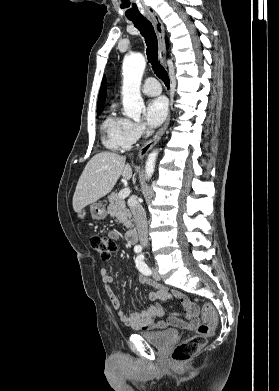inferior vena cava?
Masks as SVG:
<instances>
[{"label":"inferior vena cava","instance_id":"1","mask_svg":"<svg viewBox=\"0 0 279 391\" xmlns=\"http://www.w3.org/2000/svg\"><path fill=\"white\" fill-rule=\"evenodd\" d=\"M130 209L136 223L140 244L146 247L148 245V225L145 210L137 199L132 202Z\"/></svg>","mask_w":279,"mask_h":391}]
</instances>
